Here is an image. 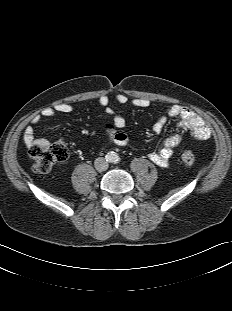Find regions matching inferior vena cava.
I'll return each mask as SVG.
<instances>
[{
  "instance_id": "inferior-vena-cava-1",
  "label": "inferior vena cava",
  "mask_w": 232,
  "mask_h": 311,
  "mask_svg": "<svg viewBox=\"0 0 232 311\" xmlns=\"http://www.w3.org/2000/svg\"><path fill=\"white\" fill-rule=\"evenodd\" d=\"M94 166H95L97 171L101 172V171L107 170L109 164H108L107 160H105V158L98 157V158H96V160L94 162Z\"/></svg>"
}]
</instances>
